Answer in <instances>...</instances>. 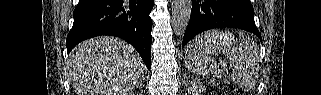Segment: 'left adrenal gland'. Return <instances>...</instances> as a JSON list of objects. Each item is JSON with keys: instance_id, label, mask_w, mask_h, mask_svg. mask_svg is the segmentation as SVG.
Listing matches in <instances>:
<instances>
[{"instance_id": "1", "label": "left adrenal gland", "mask_w": 321, "mask_h": 95, "mask_svg": "<svg viewBox=\"0 0 321 95\" xmlns=\"http://www.w3.org/2000/svg\"><path fill=\"white\" fill-rule=\"evenodd\" d=\"M185 86L186 87L188 86V80H185Z\"/></svg>"}]
</instances>
